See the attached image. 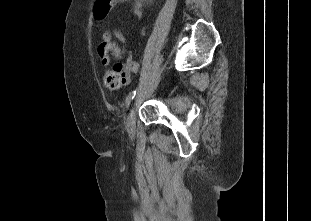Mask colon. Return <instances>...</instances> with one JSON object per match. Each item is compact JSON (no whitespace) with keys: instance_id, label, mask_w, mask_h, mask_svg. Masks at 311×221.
<instances>
[{"instance_id":"colon-1","label":"colon","mask_w":311,"mask_h":221,"mask_svg":"<svg viewBox=\"0 0 311 221\" xmlns=\"http://www.w3.org/2000/svg\"><path fill=\"white\" fill-rule=\"evenodd\" d=\"M116 0H97L94 3L96 10H94V17H96V22H105V17H109L110 12H113L114 7L111 4H115ZM117 51L115 45H109L106 41L99 47V54L102 58L107 59L111 52ZM124 71L120 68L110 67L108 64V69L104 76V81L108 87L118 86L119 79L122 78Z\"/></svg>"}]
</instances>
